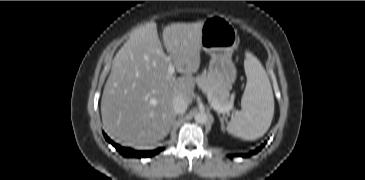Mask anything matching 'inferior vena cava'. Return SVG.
I'll return each instance as SVG.
<instances>
[{"instance_id":"obj_1","label":"inferior vena cava","mask_w":365,"mask_h":180,"mask_svg":"<svg viewBox=\"0 0 365 180\" xmlns=\"http://www.w3.org/2000/svg\"><path fill=\"white\" fill-rule=\"evenodd\" d=\"M172 105L176 114L185 113L188 107V104L181 96H175L172 100Z\"/></svg>"}]
</instances>
